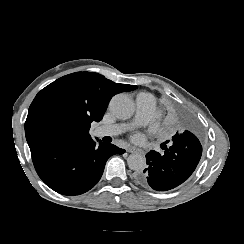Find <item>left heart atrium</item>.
Segmentation results:
<instances>
[{"label": "left heart atrium", "instance_id": "39dd6f15", "mask_svg": "<svg viewBox=\"0 0 244 244\" xmlns=\"http://www.w3.org/2000/svg\"><path fill=\"white\" fill-rule=\"evenodd\" d=\"M133 140H134V141H139V140H140V135H139V134H136V135L133 137Z\"/></svg>", "mask_w": 244, "mask_h": 244}]
</instances>
